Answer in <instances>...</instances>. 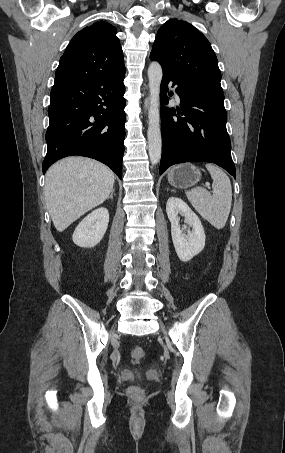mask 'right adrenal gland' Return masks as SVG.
<instances>
[{"instance_id":"2a0ac1e0","label":"right adrenal gland","mask_w":285,"mask_h":453,"mask_svg":"<svg viewBox=\"0 0 285 453\" xmlns=\"http://www.w3.org/2000/svg\"><path fill=\"white\" fill-rule=\"evenodd\" d=\"M114 191H115L114 189L111 191V194H110V196L108 197V199H109V198H110V199H113Z\"/></svg>"}]
</instances>
